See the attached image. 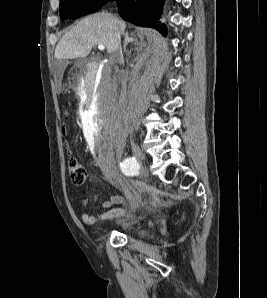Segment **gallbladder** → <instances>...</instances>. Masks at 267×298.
I'll use <instances>...</instances> for the list:
<instances>
[{"mask_svg": "<svg viewBox=\"0 0 267 298\" xmlns=\"http://www.w3.org/2000/svg\"><path fill=\"white\" fill-rule=\"evenodd\" d=\"M56 65H57V66H61V68L56 69V72H57V73H60L61 70H62V68H64V67L66 66V62H60V61H58V62H56Z\"/></svg>", "mask_w": 267, "mask_h": 298, "instance_id": "gallbladder-1", "label": "gallbladder"}]
</instances>
